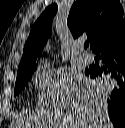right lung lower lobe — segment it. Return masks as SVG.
<instances>
[{"instance_id":"obj_1","label":"right lung lower lobe","mask_w":125,"mask_h":128,"mask_svg":"<svg viewBox=\"0 0 125 128\" xmlns=\"http://www.w3.org/2000/svg\"><path fill=\"white\" fill-rule=\"evenodd\" d=\"M92 51L98 63L85 69L92 79L104 76L108 115L115 128H125V24L101 40ZM100 62V65H99Z\"/></svg>"}]
</instances>
